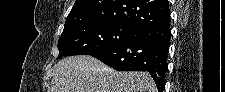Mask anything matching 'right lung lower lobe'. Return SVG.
Instances as JSON below:
<instances>
[{"label":"right lung lower lobe","mask_w":225,"mask_h":92,"mask_svg":"<svg viewBox=\"0 0 225 92\" xmlns=\"http://www.w3.org/2000/svg\"><path fill=\"white\" fill-rule=\"evenodd\" d=\"M170 39L168 21L139 29L132 39L91 56L118 71H148L158 91L163 92Z\"/></svg>","instance_id":"98d812e1"}]
</instances>
